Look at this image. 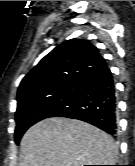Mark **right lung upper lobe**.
Returning <instances> with one entry per match:
<instances>
[{
    "mask_svg": "<svg viewBox=\"0 0 135 166\" xmlns=\"http://www.w3.org/2000/svg\"><path fill=\"white\" fill-rule=\"evenodd\" d=\"M105 64L88 40H66L48 53L21 81L18 106L68 86Z\"/></svg>",
    "mask_w": 135,
    "mask_h": 166,
    "instance_id": "right-lung-upper-lobe-1",
    "label": "right lung upper lobe"
}]
</instances>
